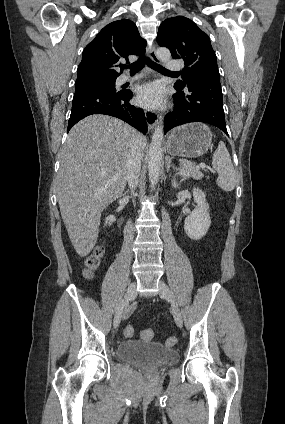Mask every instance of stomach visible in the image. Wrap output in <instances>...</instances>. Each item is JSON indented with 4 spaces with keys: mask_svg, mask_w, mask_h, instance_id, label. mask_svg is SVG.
<instances>
[{
    "mask_svg": "<svg viewBox=\"0 0 285 424\" xmlns=\"http://www.w3.org/2000/svg\"><path fill=\"white\" fill-rule=\"evenodd\" d=\"M212 145V133L202 123H190L175 128L167 137L169 154L187 158L203 155Z\"/></svg>",
    "mask_w": 285,
    "mask_h": 424,
    "instance_id": "obj_1",
    "label": "stomach"
}]
</instances>
